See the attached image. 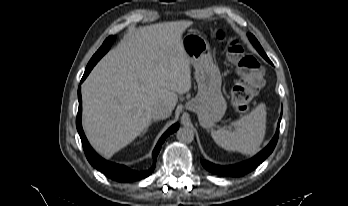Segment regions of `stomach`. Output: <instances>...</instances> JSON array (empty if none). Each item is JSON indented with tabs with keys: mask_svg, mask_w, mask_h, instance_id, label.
Listing matches in <instances>:
<instances>
[{
	"mask_svg": "<svg viewBox=\"0 0 348 206\" xmlns=\"http://www.w3.org/2000/svg\"><path fill=\"white\" fill-rule=\"evenodd\" d=\"M182 46L190 64L195 68L198 93L188 107L194 111L200 123L206 127L219 121L226 110L221 93V74L213 63L209 44L197 34H187L182 38Z\"/></svg>",
	"mask_w": 348,
	"mask_h": 206,
	"instance_id": "0dacf381",
	"label": "stomach"
}]
</instances>
